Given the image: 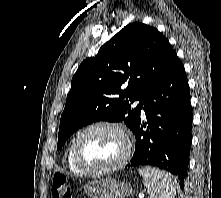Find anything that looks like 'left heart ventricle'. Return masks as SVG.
I'll use <instances>...</instances> for the list:
<instances>
[{
    "label": "left heart ventricle",
    "mask_w": 221,
    "mask_h": 198,
    "mask_svg": "<svg viewBox=\"0 0 221 198\" xmlns=\"http://www.w3.org/2000/svg\"><path fill=\"white\" fill-rule=\"evenodd\" d=\"M124 148V140L117 131L98 128L81 139L79 154L84 164L93 168H103L116 163Z\"/></svg>",
    "instance_id": "b2bd125f"
}]
</instances>
